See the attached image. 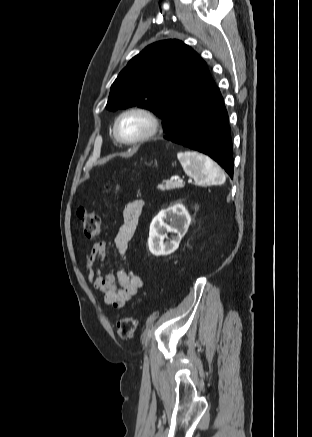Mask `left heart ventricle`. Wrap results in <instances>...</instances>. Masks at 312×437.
<instances>
[{
	"mask_svg": "<svg viewBox=\"0 0 312 437\" xmlns=\"http://www.w3.org/2000/svg\"><path fill=\"white\" fill-rule=\"evenodd\" d=\"M149 126L148 119L143 115L129 114L121 120L119 131L125 139H135L146 133Z\"/></svg>",
	"mask_w": 312,
	"mask_h": 437,
	"instance_id": "left-heart-ventricle-1",
	"label": "left heart ventricle"
}]
</instances>
